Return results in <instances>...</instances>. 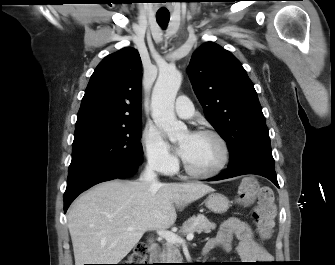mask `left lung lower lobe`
Wrapping results in <instances>:
<instances>
[{
    "mask_svg": "<svg viewBox=\"0 0 335 265\" xmlns=\"http://www.w3.org/2000/svg\"><path fill=\"white\" fill-rule=\"evenodd\" d=\"M245 174L261 175L263 177H266L267 179L272 181L277 187H279L275 169L259 164H247L238 167H228L227 170H225L216 177L208 179L207 181L222 180Z\"/></svg>",
    "mask_w": 335,
    "mask_h": 265,
    "instance_id": "0a47b994",
    "label": "left lung lower lobe"
}]
</instances>
